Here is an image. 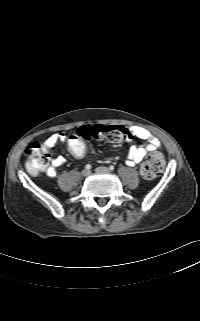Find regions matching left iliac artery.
<instances>
[{
    "label": "left iliac artery",
    "mask_w": 200,
    "mask_h": 321,
    "mask_svg": "<svg viewBox=\"0 0 200 321\" xmlns=\"http://www.w3.org/2000/svg\"><path fill=\"white\" fill-rule=\"evenodd\" d=\"M109 169H110L111 171H113V170H114V166L111 165V166L109 167Z\"/></svg>",
    "instance_id": "1"
}]
</instances>
